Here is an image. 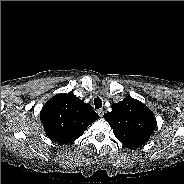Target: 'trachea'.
Segmentation results:
<instances>
[{"label": "trachea", "instance_id": "obj_1", "mask_svg": "<svg viewBox=\"0 0 184 184\" xmlns=\"http://www.w3.org/2000/svg\"><path fill=\"white\" fill-rule=\"evenodd\" d=\"M94 105H95V109H99L102 107V100L99 97H96L94 99Z\"/></svg>", "mask_w": 184, "mask_h": 184}]
</instances>
